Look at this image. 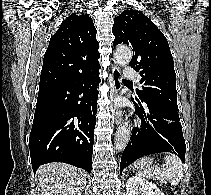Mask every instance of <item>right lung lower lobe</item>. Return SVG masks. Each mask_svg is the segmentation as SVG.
Wrapping results in <instances>:
<instances>
[{
  "label": "right lung lower lobe",
  "instance_id": "1",
  "mask_svg": "<svg viewBox=\"0 0 211 195\" xmlns=\"http://www.w3.org/2000/svg\"><path fill=\"white\" fill-rule=\"evenodd\" d=\"M99 69L39 89L29 138L34 174L50 162L68 163L91 173Z\"/></svg>",
  "mask_w": 211,
  "mask_h": 195
}]
</instances>
